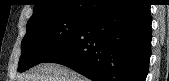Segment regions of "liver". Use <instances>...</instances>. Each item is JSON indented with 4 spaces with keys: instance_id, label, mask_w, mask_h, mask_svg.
Instances as JSON below:
<instances>
[{
    "instance_id": "obj_1",
    "label": "liver",
    "mask_w": 169,
    "mask_h": 81,
    "mask_svg": "<svg viewBox=\"0 0 169 81\" xmlns=\"http://www.w3.org/2000/svg\"><path fill=\"white\" fill-rule=\"evenodd\" d=\"M18 81H88L86 77L57 63H41L18 77Z\"/></svg>"
}]
</instances>
